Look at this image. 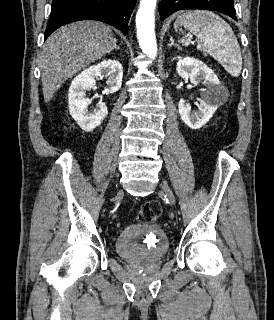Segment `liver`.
<instances>
[{
  "mask_svg": "<svg viewBox=\"0 0 274 320\" xmlns=\"http://www.w3.org/2000/svg\"><path fill=\"white\" fill-rule=\"evenodd\" d=\"M114 42L109 26L94 20L73 22L51 34L40 64L44 102L49 104L68 78L111 52Z\"/></svg>",
  "mask_w": 274,
  "mask_h": 320,
  "instance_id": "6515ba94",
  "label": "liver"
}]
</instances>
